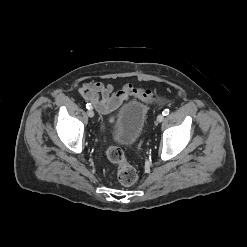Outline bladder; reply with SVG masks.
Returning a JSON list of instances; mask_svg holds the SVG:
<instances>
[{
  "label": "bladder",
  "mask_w": 247,
  "mask_h": 247,
  "mask_svg": "<svg viewBox=\"0 0 247 247\" xmlns=\"http://www.w3.org/2000/svg\"><path fill=\"white\" fill-rule=\"evenodd\" d=\"M147 118V107L132 101L126 104L118 114L111 131L114 139L124 146L133 145L142 134Z\"/></svg>",
  "instance_id": "bladder-1"
}]
</instances>
